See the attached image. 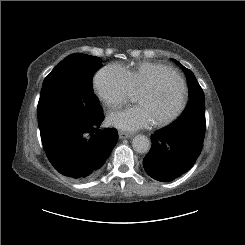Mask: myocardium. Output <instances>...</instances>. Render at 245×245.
<instances>
[{"mask_svg": "<svg viewBox=\"0 0 245 245\" xmlns=\"http://www.w3.org/2000/svg\"><path fill=\"white\" fill-rule=\"evenodd\" d=\"M163 75H172L175 78V80L178 82L180 87L181 103L180 106L172 114L156 121V125L158 127H165L175 122L183 114L188 104L187 86L183 78L180 76V74L177 71L168 68L159 74V76H163ZM162 89H163L162 85L154 83L150 86L145 87L140 93L159 94L161 93Z\"/></svg>", "mask_w": 245, "mask_h": 245, "instance_id": "myocardium-1", "label": "myocardium"}]
</instances>
